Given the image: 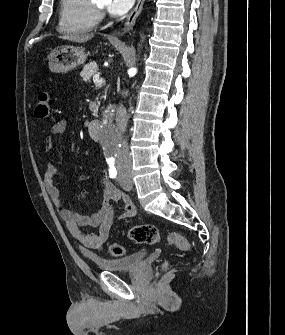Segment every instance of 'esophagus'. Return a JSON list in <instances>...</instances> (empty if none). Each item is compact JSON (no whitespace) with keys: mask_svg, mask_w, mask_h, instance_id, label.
Segmentation results:
<instances>
[{"mask_svg":"<svg viewBox=\"0 0 285 335\" xmlns=\"http://www.w3.org/2000/svg\"><path fill=\"white\" fill-rule=\"evenodd\" d=\"M144 1L145 0H137V3L135 5V7L133 8V10L130 12V14L126 18L124 27L121 30L122 34L132 30L133 26L135 25L136 19H137L139 13L141 12Z\"/></svg>","mask_w":285,"mask_h":335,"instance_id":"34e87169","label":"esophagus"}]
</instances>
